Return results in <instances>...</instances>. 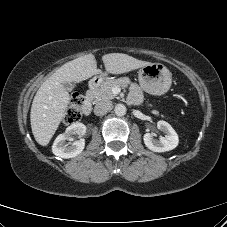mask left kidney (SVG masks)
Returning <instances> with one entry per match:
<instances>
[{"label":"left kidney","mask_w":227,"mask_h":227,"mask_svg":"<svg viewBox=\"0 0 227 227\" xmlns=\"http://www.w3.org/2000/svg\"><path fill=\"white\" fill-rule=\"evenodd\" d=\"M157 128L161 130L165 136L154 139L150 133H146L143 137L146 147L154 152H166L173 150L179 143V138L172 126L166 121H158Z\"/></svg>","instance_id":"obj_1"}]
</instances>
